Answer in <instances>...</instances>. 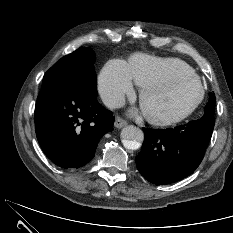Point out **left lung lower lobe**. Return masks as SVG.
I'll list each match as a JSON object with an SVG mask.
<instances>
[{"label":"left lung lower lobe","mask_w":233,"mask_h":233,"mask_svg":"<svg viewBox=\"0 0 233 233\" xmlns=\"http://www.w3.org/2000/svg\"><path fill=\"white\" fill-rule=\"evenodd\" d=\"M214 123L198 119L174 129L144 128L145 140L136 157L137 169L149 182L174 183L201 163Z\"/></svg>","instance_id":"obj_1"}]
</instances>
